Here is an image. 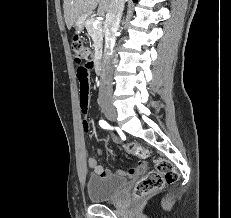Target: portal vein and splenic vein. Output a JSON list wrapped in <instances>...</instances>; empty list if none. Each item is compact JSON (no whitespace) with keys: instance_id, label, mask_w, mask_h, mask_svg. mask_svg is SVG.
Segmentation results:
<instances>
[{"instance_id":"portal-vein-and-splenic-vein-1","label":"portal vein and splenic vein","mask_w":231,"mask_h":218,"mask_svg":"<svg viewBox=\"0 0 231 218\" xmlns=\"http://www.w3.org/2000/svg\"><path fill=\"white\" fill-rule=\"evenodd\" d=\"M100 24H101V22H100L99 20H95V21L93 22V27L96 28V27H98V25H100Z\"/></svg>"}]
</instances>
